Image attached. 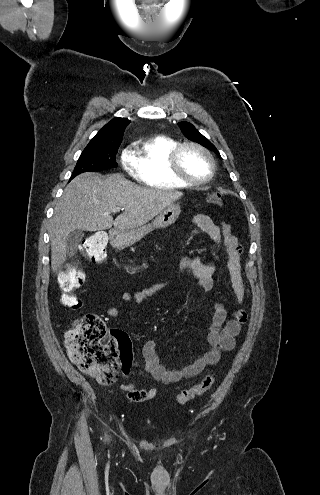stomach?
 Returning a JSON list of instances; mask_svg holds the SVG:
<instances>
[{"label":"stomach","instance_id":"1","mask_svg":"<svg viewBox=\"0 0 320 495\" xmlns=\"http://www.w3.org/2000/svg\"><path fill=\"white\" fill-rule=\"evenodd\" d=\"M180 213V205L171 204L163 209L151 224L137 229L113 231L110 237L111 243L118 248L131 246L154 229H163L171 226L178 219Z\"/></svg>","mask_w":320,"mask_h":495}]
</instances>
